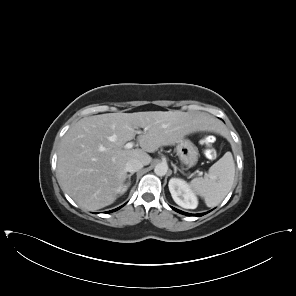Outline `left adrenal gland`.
I'll list each match as a JSON object with an SVG mask.
<instances>
[{
  "instance_id": "1",
  "label": "left adrenal gland",
  "mask_w": 296,
  "mask_h": 296,
  "mask_svg": "<svg viewBox=\"0 0 296 296\" xmlns=\"http://www.w3.org/2000/svg\"><path fill=\"white\" fill-rule=\"evenodd\" d=\"M173 168H174V174L177 173V171H180L181 173H183L175 164H172Z\"/></svg>"
}]
</instances>
